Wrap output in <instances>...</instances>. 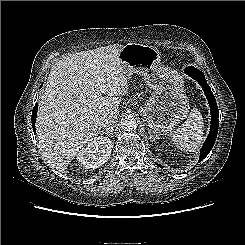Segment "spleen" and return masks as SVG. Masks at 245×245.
<instances>
[{
	"label": "spleen",
	"mask_w": 245,
	"mask_h": 245,
	"mask_svg": "<svg viewBox=\"0 0 245 245\" xmlns=\"http://www.w3.org/2000/svg\"><path fill=\"white\" fill-rule=\"evenodd\" d=\"M204 123L197 108L191 110L188 119L172 133V142L184 152H193L202 144Z\"/></svg>",
	"instance_id": "3e777b00"
}]
</instances>
